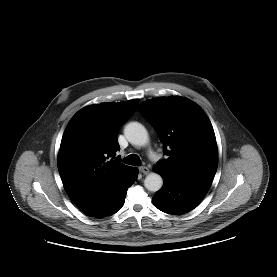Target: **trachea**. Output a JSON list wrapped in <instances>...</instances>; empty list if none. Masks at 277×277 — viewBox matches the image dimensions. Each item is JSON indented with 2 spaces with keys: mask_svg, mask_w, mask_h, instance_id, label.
Here are the masks:
<instances>
[{
  "mask_svg": "<svg viewBox=\"0 0 277 277\" xmlns=\"http://www.w3.org/2000/svg\"><path fill=\"white\" fill-rule=\"evenodd\" d=\"M124 163L134 166H140L141 160L138 155L130 154L125 160Z\"/></svg>",
  "mask_w": 277,
  "mask_h": 277,
  "instance_id": "trachea-1",
  "label": "trachea"
}]
</instances>
